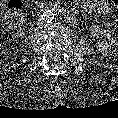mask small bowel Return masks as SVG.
I'll return each instance as SVG.
<instances>
[{"label":"small bowel","mask_w":118,"mask_h":118,"mask_svg":"<svg viewBox=\"0 0 118 118\" xmlns=\"http://www.w3.org/2000/svg\"><path fill=\"white\" fill-rule=\"evenodd\" d=\"M85 10L90 13L105 14L109 10V5L104 0H87L85 2ZM118 32V25L116 26ZM105 36L112 42L116 43L118 36L111 32H105Z\"/></svg>","instance_id":"small-bowel-1"}]
</instances>
